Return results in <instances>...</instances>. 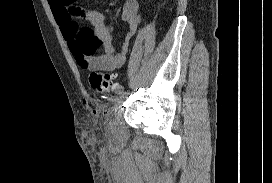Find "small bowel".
Returning a JSON list of instances; mask_svg holds the SVG:
<instances>
[{"label": "small bowel", "instance_id": "c3829d8e", "mask_svg": "<svg viewBox=\"0 0 272 183\" xmlns=\"http://www.w3.org/2000/svg\"><path fill=\"white\" fill-rule=\"evenodd\" d=\"M49 4L71 53L82 68L94 65L106 71H117L123 67L130 39L142 22L138 0H125L122 5L121 19L127 23L129 32L119 52L112 45V36L101 12L83 9L75 0H49ZM81 20L89 26L81 25ZM99 48L101 52L95 54Z\"/></svg>", "mask_w": 272, "mask_h": 183}]
</instances>
